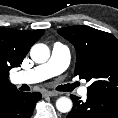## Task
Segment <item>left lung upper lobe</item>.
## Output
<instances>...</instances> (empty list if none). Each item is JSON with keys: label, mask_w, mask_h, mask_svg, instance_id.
<instances>
[{"label": "left lung upper lobe", "mask_w": 118, "mask_h": 118, "mask_svg": "<svg viewBox=\"0 0 118 118\" xmlns=\"http://www.w3.org/2000/svg\"><path fill=\"white\" fill-rule=\"evenodd\" d=\"M76 49L75 75L91 81V94L118 99V39L88 26L58 30Z\"/></svg>", "instance_id": "1"}]
</instances>
